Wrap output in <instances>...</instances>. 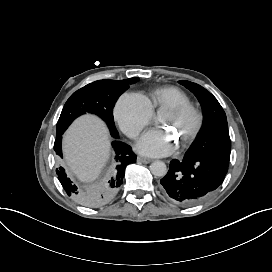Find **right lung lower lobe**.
<instances>
[{
    "label": "right lung lower lobe",
    "instance_id": "obj_1",
    "mask_svg": "<svg viewBox=\"0 0 272 272\" xmlns=\"http://www.w3.org/2000/svg\"><path fill=\"white\" fill-rule=\"evenodd\" d=\"M63 133L56 134L54 144V150L61 158V140ZM113 137L118 138V136ZM112 147L115 151V167L111 168L108 177L90 190L79 188L78 185L71 181L66 175L65 169L62 166L56 169L58 179L68 196H72L81 204L92 208L104 206L116 196L121 189L125 169L129 164L136 162V155L133 154L131 147L123 142L113 141Z\"/></svg>",
    "mask_w": 272,
    "mask_h": 272
}]
</instances>
